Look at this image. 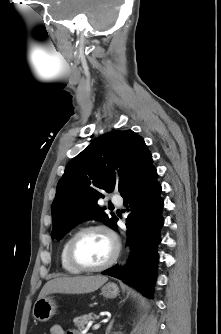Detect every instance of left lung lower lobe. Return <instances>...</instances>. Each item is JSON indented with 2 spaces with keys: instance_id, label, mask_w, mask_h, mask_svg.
I'll return each instance as SVG.
<instances>
[{
  "instance_id": "obj_1",
  "label": "left lung lower lobe",
  "mask_w": 221,
  "mask_h": 334,
  "mask_svg": "<svg viewBox=\"0 0 221 334\" xmlns=\"http://www.w3.org/2000/svg\"><path fill=\"white\" fill-rule=\"evenodd\" d=\"M160 192L161 185L157 182V171L151 160L121 194L130 212L126 219L130 259L124 268L113 267L103 272L123 280L148 297L152 296L156 279L157 245L161 241L159 230L164 223ZM113 229H117V221Z\"/></svg>"
}]
</instances>
